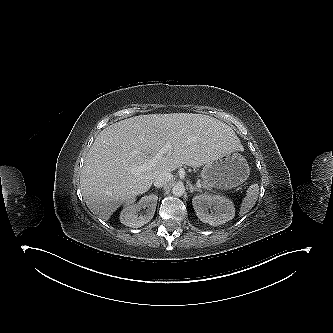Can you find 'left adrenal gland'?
I'll return each mask as SVG.
<instances>
[{
    "instance_id": "1",
    "label": "left adrenal gland",
    "mask_w": 333,
    "mask_h": 333,
    "mask_svg": "<svg viewBox=\"0 0 333 333\" xmlns=\"http://www.w3.org/2000/svg\"><path fill=\"white\" fill-rule=\"evenodd\" d=\"M190 192L193 193L194 191L202 192L201 189L197 188L196 186H193L192 184L189 185Z\"/></svg>"
}]
</instances>
